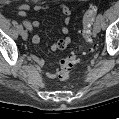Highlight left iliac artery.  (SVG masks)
I'll return each mask as SVG.
<instances>
[{"mask_svg": "<svg viewBox=\"0 0 119 119\" xmlns=\"http://www.w3.org/2000/svg\"><path fill=\"white\" fill-rule=\"evenodd\" d=\"M102 18H103L102 14H101V13L98 14V16H97V20L102 21Z\"/></svg>", "mask_w": 119, "mask_h": 119, "instance_id": "obj_1", "label": "left iliac artery"}]
</instances>
